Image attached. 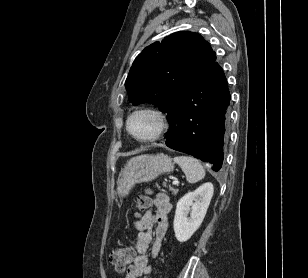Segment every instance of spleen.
Instances as JSON below:
<instances>
[{
    "instance_id": "1",
    "label": "spleen",
    "mask_w": 308,
    "mask_h": 278,
    "mask_svg": "<svg viewBox=\"0 0 308 278\" xmlns=\"http://www.w3.org/2000/svg\"><path fill=\"white\" fill-rule=\"evenodd\" d=\"M174 161L181 167L189 183H196L205 177V170L197 159L190 156H177Z\"/></svg>"
}]
</instances>
